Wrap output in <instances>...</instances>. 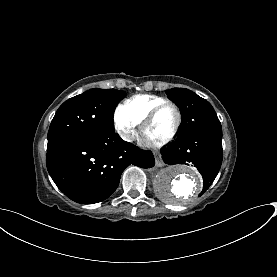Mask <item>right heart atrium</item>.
I'll return each mask as SVG.
<instances>
[{
  "mask_svg": "<svg viewBox=\"0 0 277 277\" xmlns=\"http://www.w3.org/2000/svg\"><path fill=\"white\" fill-rule=\"evenodd\" d=\"M115 125L119 135L124 140L131 141L135 136V128L138 125V123L129 116L117 113L115 117Z\"/></svg>",
  "mask_w": 277,
  "mask_h": 277,
  "instance_id": "obj_1",
  "label": "right heart atrium"
}]
</instances>
